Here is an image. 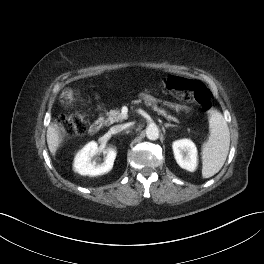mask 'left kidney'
Segmentation results:
<instances>
[{
  "instance_id": "obj_1",
  "label": "left kidney",
  "mask_w": 264,
  "mask_h": 264,
  "mask_svg": "<svg viewBox=\"0 0 264 264\" xmlns=\"http://www.w3.org/2000/svg\"><path fill=\"white\" fill-rule=\"evenodd\" d=\"M174 157L178 165L188 171L197 167V148L190 139H181L173 142Z\"/></svg>"
}]
</instances>
